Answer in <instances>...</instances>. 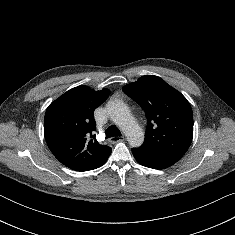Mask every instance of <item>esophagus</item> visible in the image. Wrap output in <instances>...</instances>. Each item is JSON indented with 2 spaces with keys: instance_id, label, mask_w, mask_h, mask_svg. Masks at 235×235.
<instances>
[{
  "instance_id": "34e87169",
  "label": "esophagus",
  "mask_w": 235,
  "mask_h": 235,
  "mask_svg": "<svg viewBox=\"0 0 235 235\" xmlns=\"http://www.w3.org/2000/svg\"><path fill=\"white\" fill-rule=\"evenodd\" d=\"M124 139V136H114L109 139V142L115 144L117 142L123 141Z\"/></svg>"
}]
</instances>
